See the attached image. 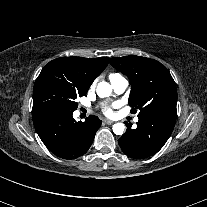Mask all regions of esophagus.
Here are the masks:
<instances>
[{
  "mask_svg": "<svg viewBox=\"0 0 207 207\" xmlns=\"http://www.w3.org/2000/svg\"><path fill=\"white\" fill-rule=\"evenodd\" d=\"M103 121H104V123L107 124V125H111V124H113V121H111V120H109V119H104Z\"/></svg>",
  "mask_w": 207,
  "mask_h": 207,
  "instance_id": "esophagus-1",
  "label": "esophagus"
}]
</instances>
